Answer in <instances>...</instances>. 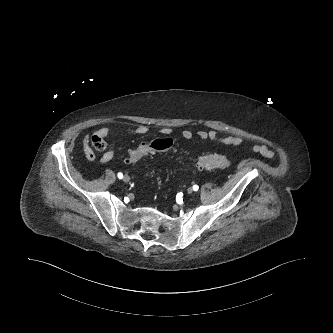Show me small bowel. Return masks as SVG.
Segmentation results:
<instances>
[{"label":"small bowel","instance_id":"1","mask_svg":"<svg viewBox=\"0 0 333 333\" xmlns=\"http://www.w3.org/2000/svg\"><path fill=\"white\" fill-rule=\"evenodd\" d=\"M114 128L110 126H104L97 130L93 135H87L84 137L82 141L83 150L85 154V158L87 160L94 159V152L90 147L91 138L94 135L100 137H107L114 132ZM126 134L129 135H144L148 132V127L145 125H138L134 128H129L124 130ZM162 137L161 138H171L172 130L168 127H164L160 131ZM179 136L184 140H191L194 136H197L199 139L204 141H211L220 143L226 146H234L239 147L243 144V138L237 135H220L218 131L211 129V130H198L196 132L192 131L191 129H182L179 131ZM172 139V138H171ZM253 151L258 152L266 157L273 158L275 157V153L272 152L267 146L256 144L252 146ZM114 149L110 148L106 150L100 157L99 162L101 164H107L110 162L114 157ZM152 153V152H151Z\"/></svg>","mask_w":333,"mask_h":333}]
</instances>
